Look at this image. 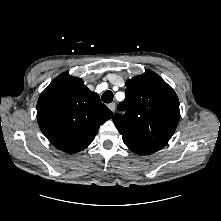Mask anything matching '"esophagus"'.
<instances>
[{"instance_id": "esophagus-1", "label": "esophagus", "mask_w": 221, "mask_h": 221, "mask_svg": "<svg viewBox=\"0 0 221 221\" xmlns=\"http://www.w3.org/2000/svg\"><path fill=\"white\" fill-rule=\"evenodd\" d=\"M108 108H109L112 112H114V111H115V103H110V104H108Z\"/></svg>"}]
</instances>
